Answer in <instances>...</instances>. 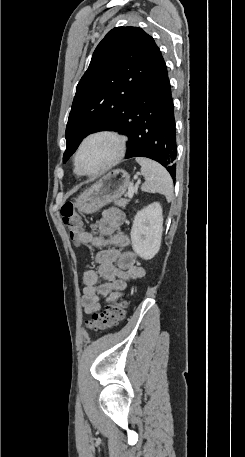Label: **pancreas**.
Listing matches in <instances>:
<instances>
[{
	"mask_svg": "<svg viewBox=\"0 0 245 457\" xmlns=\"http://www.w3.org/2000/svg\"><path fill=\"white\" fill-rule=\"evenodd\" d=\"M115 204H118V206H122V208H125L126 204H128V198H118V200H114Z\"/></svg>",
	"mask_w": 245,
	"mask_h": 457,
	"instance_id": "obj_1",
	"label": "pancreas"
}]
</instances>
